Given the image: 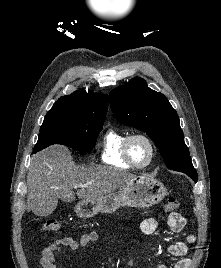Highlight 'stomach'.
Returning <instances> with one entry per match:
<instances>
[{"label":"stomach","instance_id":"0dacf381","mask_svg":"<svg viewBox=\"0 0 221 268\" xmlns=\"http://www.w3.org/2000/svg\"><path fill=\"white\" fill-rule=\"evenodd\" d=\"M167 195L164 185L152 178L136 176L122 185L117 193H110L98 200H82L75 205L81 218H90L97 213L110 214L119 207L147 208L161 202Z\"/></svg>","mask_w":221,"mask_h":268}]
</instances>
